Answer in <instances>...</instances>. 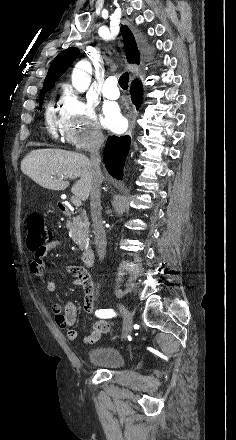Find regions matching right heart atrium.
<instances>
[{
	"instance_id": "d8ad5b80",
	"label": "right heart atrium",
	"mask_w": 236,
	"mask_h": 440,
	"mask_svg": "<svg viewBox=\"0 0 236 440\" xmlns=\"http://www.w3.org/2000/svg\"><path fill=\"white\" fill-rule=\"evenodd\" d=\"M59 127L63 140L75 149L92 150L104 142L93 106L69 87L61 91Z\"/></svg>"
}]
</instances>
